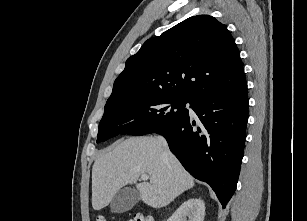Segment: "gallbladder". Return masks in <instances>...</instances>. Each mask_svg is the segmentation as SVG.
Here are the masks:
<instances>
[{"label":"gallbladder","mask_w":307,"mask_h":221,"mask_svg":"<svg viewBox=\"0 0 307 221\" xmlns=\"http://www.w3.org/2000/svg\"><path fill=\"white\" fill-rule=\"evenodd\" d=\"M139 200L137 190L124 187L121 188L110 202V210L114 213H124L130 210Z\"/></svg>","instance_id":"bac80fb5"}]
</instances>
